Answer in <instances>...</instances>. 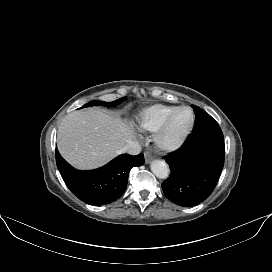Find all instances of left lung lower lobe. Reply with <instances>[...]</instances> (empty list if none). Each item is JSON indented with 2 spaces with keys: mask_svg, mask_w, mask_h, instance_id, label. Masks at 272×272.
<instances>
[{
  "mask_svg": "<svg viewBox=\"0 0 272 272\" xmlns=\"http://www.w3.org/2000/svg\"><path fill=\"white\" fill-rule=\"evenodd\" d=\"M225 144L218 123L191 133L184 144L165 156L171 174L162 183L172 202L192 207L214 190L224 166Z\"/></svg>",
  "mask_w": 272,
  "mask_h": 272,
  "instance_id": "0a47b994",
  "label": "left lung lower lobe"
}]
</instances>
